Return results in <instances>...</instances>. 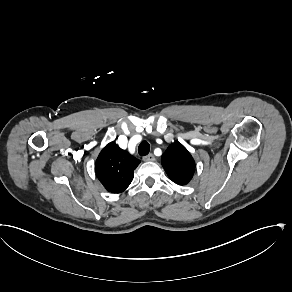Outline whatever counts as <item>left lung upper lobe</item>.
Listing matches in <instances>:
<instances>
[{
    "instance_id": "obj_1",
    "label": "left lung upper lobe",
    "mask_w": 292,
    "mask_h": 292,
    "mask_svg": "<svg viewBox=\"0 0 292 292\" xmlns=\"http://www.w3.org/2000/svg\"><path fill=\"white\" fill-rule=\"evenodd\" d=\"M161 163L168 177L178 185H186L195 172V161L180 143L170 144L162 155Z\"/></svg>"
}]
</instances>
